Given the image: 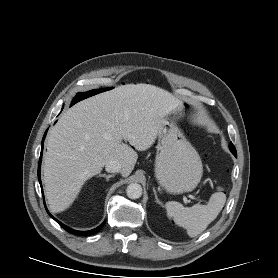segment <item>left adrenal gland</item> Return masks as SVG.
<instances>
[{"label": "left adrenal gland", "instance_id": "left-adrenal-gland-1", "mask_svg": "<svg viewBox=\"0 0 278 278\" xmlns=\"http://www.w3.org/2000/svg\"><path fill=\"white\" fill-rule=\"evenodd\" d=\"M153 192H154V195H155V201L156 203L160 204L162 206V202H160V200L158 199V196H157V193H156V190L155 188L153 187Z\"/></svg>", "mask_w": 278, "mask_h": 278}]
</instances>
